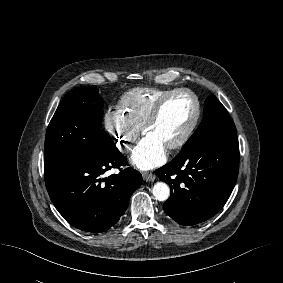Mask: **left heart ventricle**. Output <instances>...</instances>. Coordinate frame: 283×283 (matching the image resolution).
Masks as SVG:
<instances>
[{
	"instance_id": "obj_1",
	"label": "left heart ventricle",
	"mask_w": 283,
	"mask_h": 283,
	"mask_svg": "<svg viewBox=\"0 0 283 283\" xmlns=\"http://www.w3.org/2000/svg\"><path fill=\"white\" fill-rule=\"evenodd\" d=\"M194 113L195 104L191 97L177 94L165 104L158 120L145 131L144 135L151 136L167 147L183 135Z\"/></svg>"
}]
</instances>
